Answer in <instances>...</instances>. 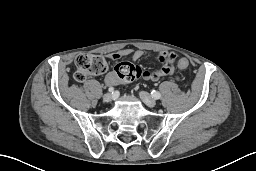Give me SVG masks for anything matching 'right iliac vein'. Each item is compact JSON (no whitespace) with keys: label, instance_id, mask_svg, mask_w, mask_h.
<instances>
[{"label":"right iliac vein","instance_id":"obj_1","mask_svg":"<svg viewBox=\"0 0 256 171\" xmlns=\"http://www.w3.org/2000/svg\"><path fill=\"white\" fill-rule=\"evenodd\" d=\"M111 99H112L111 93H106V94L103 95V101L104 102L108 103V102L111 101Z\"/></svg>","mask_w":256,"mask_h":171}]
</instances>
